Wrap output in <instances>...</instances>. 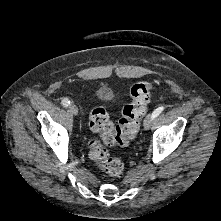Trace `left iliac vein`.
Instances as JSON below:
<instances>
[{
	"label": "left iliac vein",
	"instance_id": "1",
	"mask_svg": "<svg viewBox=\"0 0 221 221\" xmlns=\"http://www.w3.org/2000/svg\"><path fill=\"white\" fill-rule=\"evenodd\" d=\"M152 121H153L152 114L147 115L143 122L144 129L148 130L152 124Z\"/></svg>",
	"mask_w": 221,
	"mask_h": 221
}]
</instances>
